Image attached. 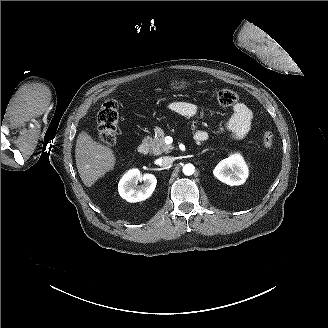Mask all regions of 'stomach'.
<instances>
[{
  "label": "stomach",
  "mask_w": 328,
  "mask_h": 328,
  "mask_svg": "<svg viewBox=\"0 0 328 328\" xmlns=\"http://www.w3.org/2000/svg\"><path fill=\"white\" fill-rule=\"evenodd\" d=\"M192 86V83L186 80H172L168 87L172 90H184Z\"/></svg>",
  "instance_id": "1"
}]
</instances>
